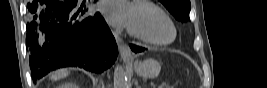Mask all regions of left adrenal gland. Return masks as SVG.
<instances>
[{
    "label": "left adrenal gland",
    "instance_id": "a2214340",
    "mask_svg": "<svg viewBox=\"0 0 267 88\" xmlns=\"http://www.w3.org/2000/svg\"><path fill=\"white\" fill-rule=\"evenodd\" d=\"M137 88H139L138 83L136 82Z\"/></svg>",
    "mask_w": 267,
    "mask_h": 88
}]
</instances>
